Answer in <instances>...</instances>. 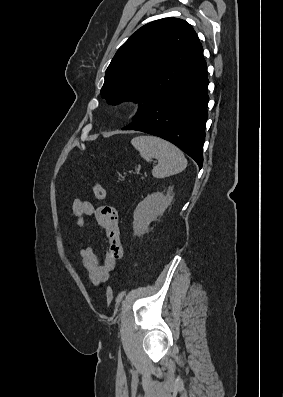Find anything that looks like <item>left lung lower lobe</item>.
<instances>
[{
  "instance_id": "obj_1",
  "label": "left lung lower lobe",
  "mask_w": 283,
  "mask_h": 397,
  "mask_svg": "<svg viewBox=\"0 0 283 397\" xmlns=\"http://www.w3.org/2000/svg\"><path fill=\"white\" fill-rule=\"evenodd\" d=\"M207 64L160 96L122 130H137L178 146L199 168L203 165L205 123L208 118Z\"/></svg>"
}]
</instances>
